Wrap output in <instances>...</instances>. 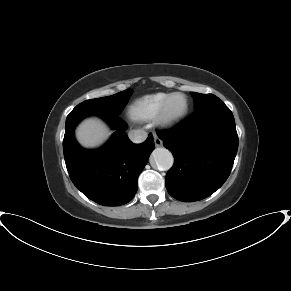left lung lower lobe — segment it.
Segmentation results:
<instances>
[{
    "label": "left lung lower lobe",
    "mask_w": 291,
    "mask_h": 291,
    "mask_svg": "<svg viewBox=\"0 0 291 291\" xmlns=\"http://www.w3.org/2000/svg\"><path fill=\"white\" fill-rule=\"evenodd\" d=\"M157 135L174 156V165L166 174V188L172 197L184 202L202 200L227 180L238 136L233 114L222 101Z\"/></svg>",
    "instance_id": "left-lung-lower-lobe-1"
}]
</instances>
